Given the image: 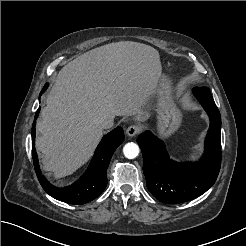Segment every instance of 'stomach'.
Returning a JSON list of instances; mask_svg holds the SVG:
<instances>
[{"label": "stomach", "instance_id": "obj_1", "mask_svg": "<svg viewBox=\"0 0 246 246\" xmlns=\"http://www.w3.org/2000/svg\"><path fill=\"white\" fill-rule=\"evenodd\" d=\"M160 101L157 106V132L163 138L170 137L175 133L182 122V114L177 108L170 84L166 81L158 86Z\"/></svg>", "mask_w": 246, "mask_h": 246}]
</instances>
